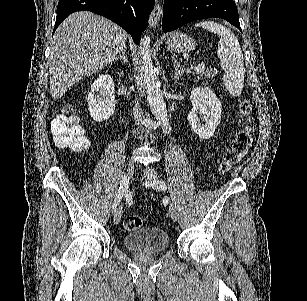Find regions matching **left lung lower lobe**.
<instances>
[{
  "label": "left lung lower lobe",
  "instance_id": "1",
  "mask_svg": "<svg viewBox=\"0 0 307 301\" xmlns=\"http://www.w3.org/2000/svg\"><path fill=\"white\" fill-rule=\"evenodd\" d=\"M212 17L225 19L241 31L233 0H167L163 6L162 29L168 32L188 22Z\"/></svg>",
  "mask_w": 307,
  "mask_h": 301
}]
</instances>
